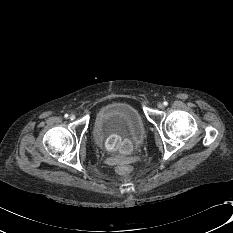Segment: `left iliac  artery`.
Returning <instances> with one entry per match:
<instances>
[{"label": "left iliac artery", "mask_w": 233, "mask_h": 233, "mask_svg": "<svg viewBox=\"0 0 233 233\" xmlns=\"http://www.w3.org/2000/svg\"><path fill=\"white\" fill-rule=\"evenodd\" d=\"M163 104H164L165 106H167V105H168V102H167V101H164Z\"/></svg>", "instance_id": "44dca946"}]
</instances>
